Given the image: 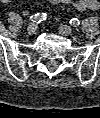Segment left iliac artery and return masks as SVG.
Instances as JSON below:
<instances>
[{
    "instance_id": "left-iliac-artery-1",
    "label": "left iliac artery",
    "mask_w": 100,
    "mask_h": 118,
    "mask_svg": "<svg viewBox=\"0 0 100 118\" xmlns=\"http://www.w3.org/2000/svg\"><path fill=\"white\" fill-rule=\"evenodd\" d=\"M70 24H71V26H73V27H77V26L80 24V20L77 19V18H72V19L70 20Z\"/></svg>"
}]
</instances>
